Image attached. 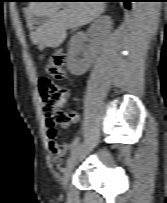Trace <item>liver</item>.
Instances as JSON below:
<instances>
[{
    "label": "liver",
    "mask_w": 167,
    "mask_h": 203,
    "mask_svg": "<svg viewBox=\"0 0 167 203\" xmlns=\"http://www.w3.org/2000/svg\"><path fill=\"white\" fill-rule=\"evenodd\" d=\"M104 10V2H30V38L41 50L59 47L66 39L68 29L90 23ZM33 16H47L48 19L33 27Z\"/></svg>",
    "instance_id": "liver-1"
}]
</instances>
